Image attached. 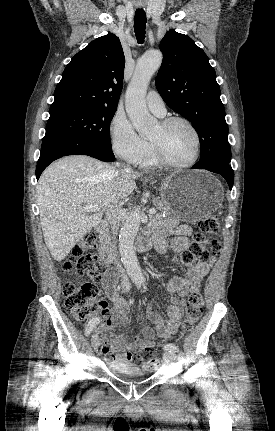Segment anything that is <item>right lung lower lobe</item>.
<instances>
[{"instance_id": "98d812e1", "label": "right lung lower lobe", "mask_w": 275, "mask_h": 431, "mask_svg": "<svg viewBox=\"0 0 275 431\" xmlns=\"http://www.w3.org/2000/svg\"><path fill=\"white\" fill-rule=\"evenodd\" d=\"M67 155H88L105 162H112L115 158L112 150L90 141L68 138L43 140L36 167L37 179L51 162Z\"/></svg>"}]
</instances>
